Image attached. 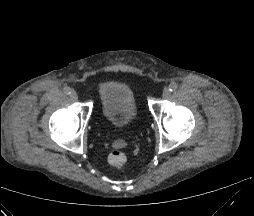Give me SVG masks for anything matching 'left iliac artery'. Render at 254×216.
Returning a JSON list of instances; mask_svg holds the SVG:
<instances>
[{
	"instance_id": "obj_1",
	"label": "left iliac artery",
	"mask_w": 254,
	"mask_h": 216,
	"mask_svg": "<svg viewBox=\"0 0 254 216\" xmlns=\"http://www.w3.org/2000/svg\"><path fill=\"white\" fill-rule=\"evenodd\" d=\"M177 88H178V85H177L176 83H171V84L169 85V90H170L171 92H175V91L177 90Z\"/></svg>"
}]
</instances>
